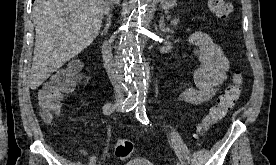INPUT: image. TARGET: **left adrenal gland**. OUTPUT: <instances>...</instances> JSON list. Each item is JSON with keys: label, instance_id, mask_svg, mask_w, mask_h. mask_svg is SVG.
Masks as SVG:
<instances>
[{"label": "left adrenal gland", "instance_id": "1", "mask_svg": "<svg viewBox=\"0 0 276 165\" xmlns=\"http://www.w3.org/2000/svg\"><path fill=\"white\" fill-rule=\"evenodd\" d=\"M159 28L162 32H168V33H174L173 29L165 25V19L164 16L160 18L159 21Z\"/></svg>", "mask_w": 276, "mask_h": 165}]
</instances>
